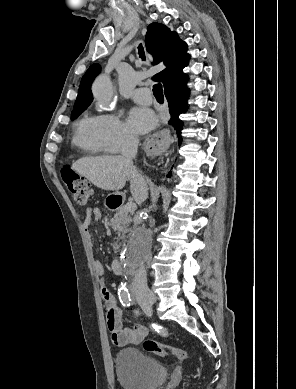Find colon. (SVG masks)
<instances>
[{
  "label": "colon",
  "mask_w": 296,
  "mask_h": 389,
  "mask_svg": "<svg viewBox=\"0 0 296 389\" xmlns=\"http://www.w3.org/2000/svg\"><path fill=\"white\" fill-rule=\"evenodd\" d=\"M61 177L75 202L80 205H85L90 196V188L87 181L68 165L61 168ZM143 347L146 351L161 357L172 355L181 361L188 358V354L184 350L165 346L152 339L145 340L143 342Z\"/></svg>",
  "instance_id": "colon-1"
}]
</instances>
